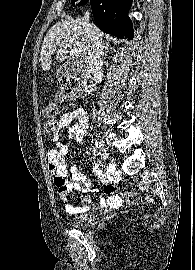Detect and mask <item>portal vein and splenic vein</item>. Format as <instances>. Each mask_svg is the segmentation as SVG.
<instances>
[{"label": "portal vein and splenic vein", "mask_w": 195, "mask_h": 270, "mask_svg": "<svg viewBox=\"0 0 195 270\" xmlns=\"http://www.w3.org/2000/svg\"><path fill=\"white\" fill-rule=\"evenodd\" d=\"M70 55L73 57H78L79 56V51L77 49H72L70 51Z\"/></svg>", "instance_id": "18ae733b"}]
</instances>
